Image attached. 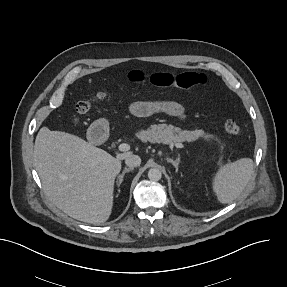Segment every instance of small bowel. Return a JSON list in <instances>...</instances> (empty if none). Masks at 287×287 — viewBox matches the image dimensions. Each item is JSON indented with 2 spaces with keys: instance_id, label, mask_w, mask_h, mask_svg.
Instances as JSON below:
<instances>
[{
  "instance_id": "small-bowel-1",
  "label": "small bowel",
  "mask_w": 287,
  "mask_h": 287,
  "mask_svg": "<svg viewBox=\"0 0 287 287\" xmlns=\"http://www.w3.org/2000/svg\"><path fill=\"white\" fill-rule=\"evenodd\" d=\"M130 111L138 117L147 116L155 112H163L179 120L185 118L183 107L173 101H137L131 105Z\"/></svg>"
}]
</instances>
